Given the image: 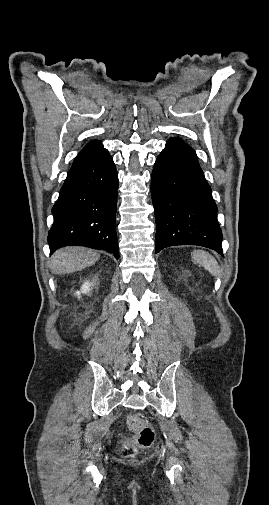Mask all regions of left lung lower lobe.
Returning <instances> with one entry per match:
<instances>
[{"label": "left lung lower lobe", "instance_id": "left-lung-lower-lobe-1", "mask_svg": "<svg viewBox=\"0 0 269 505\" xmlns=\"http://www.w3.org/2000/svg\"><path fill=\"white\" fill-rule=\"evenodd\" d=\"M151 195L155 252L173 245H198L222 253V233L211 188L195 151L181 139L167 141L154 164Z\"/></svg>", "mask_w": 269, "mask_h": 505}]
</instances>
